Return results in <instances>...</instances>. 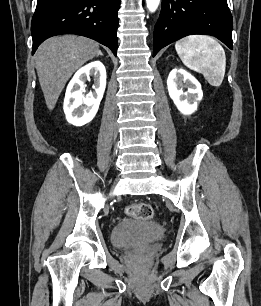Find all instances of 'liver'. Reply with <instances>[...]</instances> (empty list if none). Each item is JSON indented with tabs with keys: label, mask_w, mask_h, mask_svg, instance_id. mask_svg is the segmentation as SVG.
Here are the masks:
<instances>
[{
	"label": "liver",
	"mask_w": 261,
	"mask_h": 306,
	"mask_svg": "<svg viewBox=\"0 0 261 306\" xmlns=\"http://www.w3.org/2000/svg\"><path fill=\"white\" fill-rule=\"evenodd\" d=\"M100 53L97 42L76 35L51 37L39 46L35 54L36 70L49 110L54 109L72 74Z\"/></svg>",
	"instance_id": "1"
}]
</instances>
